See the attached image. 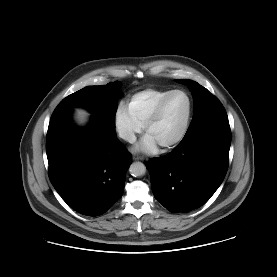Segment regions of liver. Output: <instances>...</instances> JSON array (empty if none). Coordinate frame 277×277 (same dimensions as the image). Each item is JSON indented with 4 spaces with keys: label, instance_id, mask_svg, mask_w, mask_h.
Masks as SVG:
<instances>
[{
    "label": "liver",
    "instance_id": "obj_1",
    "mask_svg": "<svg viewBox=\"0 0 277 277\" xmlns=\"http://www.w3.org/2000/svg\"><path fill=\"white\" fill-rule=\"evenodd\" d=\"M88 113L85 110L78 109L76 111V118L82 123L86 121Z\"/></svg>",
    "mask_w": 277,
    "mask_h": 277
}]
</instances>
